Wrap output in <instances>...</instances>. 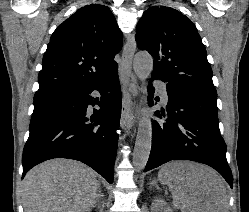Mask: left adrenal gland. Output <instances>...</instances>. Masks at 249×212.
I'll return each instance as SVG.
<instances>
[{
  "label": "left adrenal gland",
  "instance_id": "1",
  "mask_svg": "<svg viewBox=\"0 0 249 212\" xmlns=\"http://www.w3.org/2000/svg\"><path fill=\"white\" fill-rule=\"evenodd\" d=\"M151 186H155L156 190H159V188L157 186V182H155V180H152Z\"/></svg>",
  "mask_w": 249,
  "mask_h": 212
}]
</instances>
